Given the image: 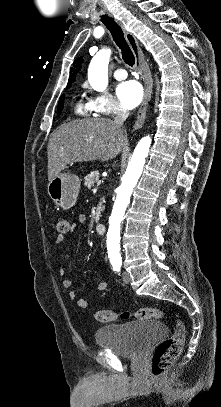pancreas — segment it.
I'll return each mask as SVG.
<instances>
[{"label":"pancreas","instance_id":"pancreas-1","mask_svg":"<svg viewBox=\"0 0 221 407\" xmlns=\"http://www.w3.org/2000/svg\"><path fill=\"white\" fill-rule=\"evenodd\" d=\"M99 172L98 171H92L89 173L85 179H84V185L88 188L91 189L95 183L99 180ZM103 211L102 207V202L99 204L97 211H96V216H95V221L98 222L101 212Z\"/></svg>","mask_w":221,"mask_h":407}]
</instances>
